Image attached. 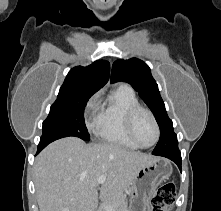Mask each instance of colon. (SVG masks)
Masks as SVG:
<instances>
[{"mask_svg":"<svg viewBox=\"0 0 221 211\" xmlns=\"http://www.w3.org/2000/svg\"><path fill=\"white\" fill-rule=\"evenodd\" d=\"M175 196V185L172 182L162 184L151 202L152 211H169L173 207Z\"/></svg>","mask_w":221,"mask_h":211,"instance_id":"1","label":"colon"}]
</instances>
